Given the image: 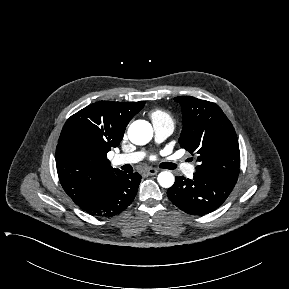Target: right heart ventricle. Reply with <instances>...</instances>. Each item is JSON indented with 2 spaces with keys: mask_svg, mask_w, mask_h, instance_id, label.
Masks as SVG:
<instances>
[{
  "mask_svg": "<svg viewBox=\"0 0 289 289\" xmlns=\"http://www.w3.org/2000/svg\"><path fill=\"white\" fill-rule=\"evenodd\" d=\"M150 118L153 124H171L174 126V120L171 114L163 109H155L150 112Z\"/></svg>",
  "mask_w": 289,
  "mask_h": 289,
  "instance_id": "right-heart-ventricle-1",
  "label": "right heart ventricle"
}]
</instances>
